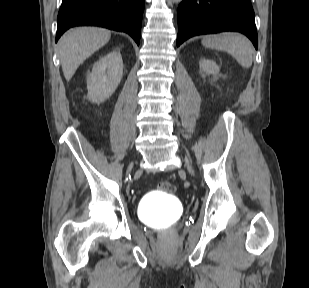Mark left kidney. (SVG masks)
Listing matches in <instances>:
<instances>
[{"mask_svg":"<svg viewBox=\"0 0 309 288\" xmlns=\"http://www.w3.org/2000/svg\"><path fill=\"white\" fill-rule=\"evenodd\" d=\"M199 66H200V70L206 74L215 75L219 72V67L213 60L202 59L199 62Z\"/></svg>","mask_w":309,"mask_h":288,"instance_id":"left-kidney-1","label":"left kidney"}]
</instances>
